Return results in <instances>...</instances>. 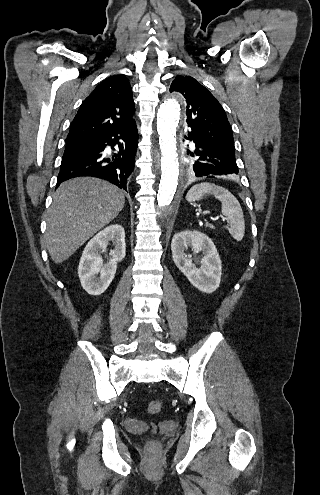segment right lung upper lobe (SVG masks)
Segmentation results:
<instances>
[{
  "instance_id": "obj_1",
  "label": "right lung upper lobe",
  "mask_w": 320,
  "mask_h": 495,
  "mask_svg": "<svg viewBox=\"0 0 320 495\" xmlns=\"http://www.w3.org/2000/svg\"><path fill=\"white\" fill-rule=\"evenodd\" d=\"M132 88L127 77L113 75L97 85L84 100L70 127L66 141L79 140L135 123Z\"/></svg>"
}]
</instances>
